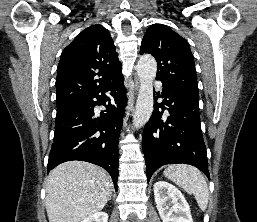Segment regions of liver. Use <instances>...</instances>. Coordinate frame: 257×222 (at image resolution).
Instances as JSON below:
<instances>
[{
  "instance_id": "obj_1",
  "label": "liver",
  "mask_w": 257,
  "mask_h": 222,
  "mask_svg": "<svg viewBox=\"0 0 257 222\" xmlns=\"http://www.w3.org/2000/svg\"><path fill=\"white\" fill-rule=\"evenodd\" d=\"M111 180L102 168L82 161L58 165L46 181L49 222H82L101 211L111 194Z\"/></svg>"
}]
</instances>
